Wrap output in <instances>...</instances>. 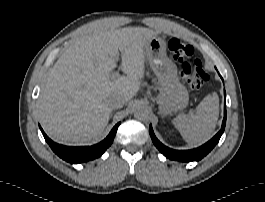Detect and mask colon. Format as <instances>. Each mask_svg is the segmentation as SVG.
Listing matches in <instances>:
<instances>
[{"instance_id": "obj_1", "label": "colon", "mask_w": 265, "mask_h": 202, "mask_svg": "<svg viewBox=\"0 0 265 202\" xmlns=\"http://www.w3.org/2000/svg\"><path fill=\"white\" fill-rule=\"evenodd\" d=\"M168 48L174 60L179 64L182 77L189 87L201 88L209 79L200 59L195 57L194 48L178 38L168 42Z\"/></svg>"}]
</instances>
